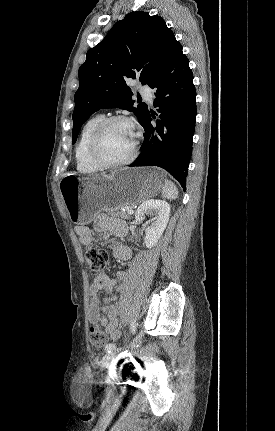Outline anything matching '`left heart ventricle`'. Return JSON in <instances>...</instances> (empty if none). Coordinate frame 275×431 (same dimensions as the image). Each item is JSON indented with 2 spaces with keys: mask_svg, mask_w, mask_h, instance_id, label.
Returning a JSON list of instances; mask_svg holds the SVG:
<instances>
[{
  "mask_svg": "<svg viewBox=\"0 0 275 431\" xmlns=\"http://www.w3.org/2000/svg\"><path fill=\"white\" fill-rule=\"evenodd\" d=\"M135 134L126 123H114L105 132L101 146V156L110 162L126 159L132 152Z\"/></svg>",
  "mask_w": 275,
  "mask_h": 431,
  "instance_id": "obj_1",
  "label": "left heart ventricle"
}]
</instances>
